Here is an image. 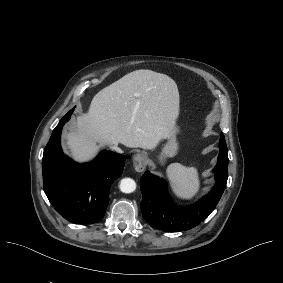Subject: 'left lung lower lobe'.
<instances>
[{"label":"left lung lower lobe","instance_id":"0a47b994","mask_svg":"<svg viewBox=\"0 0 283 283\" xmlns=\"http://www.w3.org/2000/svg\"><path fill=\"white\" fill-rule=\"evenodd\" d=\"M213 172L216 179L213 190L194 206L177 209L168 197L167 183L146 171L140 184L143 218L153 228L179 232L197 226L210 215L225 190L228 178V150L223 133L219 141L218 162Z\"/></svg>","mask_w":283,"mask_h":283}]
</instances>
